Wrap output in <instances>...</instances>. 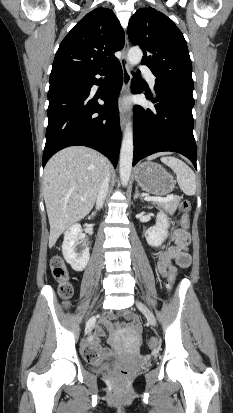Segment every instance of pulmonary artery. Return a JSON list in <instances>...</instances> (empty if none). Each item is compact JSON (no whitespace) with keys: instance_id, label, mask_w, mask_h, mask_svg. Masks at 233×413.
<instances>
[{"instance_id":"obj_1","label":"pulmonary artery","mask_w":233,"mask_h":413,"mask_svg":"<svg viewBox=\"0 0 233 413\" xmlns=\"http://www.w3.org/2000/svg\"><path fill=\"white\" fill-rule=\"evenodd\" d=\"M142 72L145 75V77L147 78V81L150 85L151 88L155 87V76L153 75V73L151 72V70L147 67H142Z\"/></svg>"}]
</instances>
